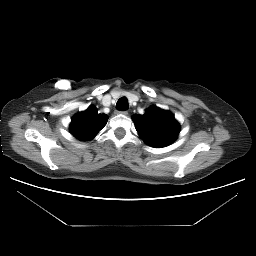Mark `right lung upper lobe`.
Segmentation results:
<instances>
[{
  "instance_id": "right-lung-upper-lobe-1",
  "label": "right lung upper lobe",
  "mask_w": 256,
  "mask_h": 256,
  "mask_svg": "<svg viewBox=\"0 0 256 256\" xmlns=\"http://www.w3.org/2000/svg\"><path fill=\"white\" fill-rule=\"evenodd\" d=\"M107 119L106 114H98L97 108L91 105L72 118L70 129L76 138L87 141L105 127Z\"/></svg>"
}]
</instances>
